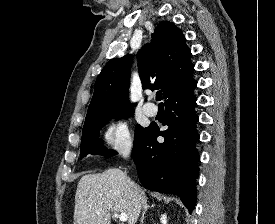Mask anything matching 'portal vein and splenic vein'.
<instances>
[{"label":"portal vein and splenic vein","mask_w":275,"mask_h":224,"mask_svg":"<svg viewBox=\"0 0 275 224\" xmlns=\"http://www.w3.org/2000/svg\"><path fill=\"white\" fill-rule=\"evenodd\" d=\"M115 216H117L121 222H126L127 221V215L126 214H120V215L116 214Z\"/></svg>","instance_id":"1"}]
</instances>
